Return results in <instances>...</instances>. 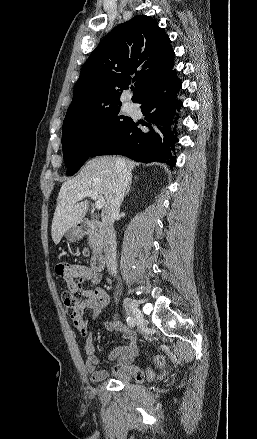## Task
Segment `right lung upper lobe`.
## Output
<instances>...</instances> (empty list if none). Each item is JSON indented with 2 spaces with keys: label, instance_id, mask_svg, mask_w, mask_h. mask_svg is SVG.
I'll return each instance as SVG.
<instances>
[{
  "label": "right lung upper lobe",
  "instance_id": "1",
  "mask_svg": "<svg viewBox=\"0 0 257 439\" xmlns=\"http://www.w3.org/2000/svg\"><path fill=\"white\" fill-rule=\"evenodd\" d=\"M150 16L137 15L116 26L90 54L75 85L64 121L121 104L122 91L135 82L132 101L172 71L170 39Z\"/></svg>",
  "mask_w": 257,
  "mask_h": 439
}]
</instances>
